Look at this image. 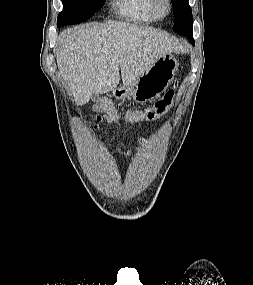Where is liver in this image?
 Returning a JSON list of instances; mask_svg holds the SVG:
<instances>
[{"instance_id":"liver-1","label":"liver","mask_w":253,"mask_h":285,"mask_svg":"<svg viewBox=\"0 0 253 285\" xmlns=\"http://www.w3.org/2000/svg\"><path fill=\"white\" fill-rule=\"evenodd\" d=\"M56 52L59 72L77 106L93 94L113 91L120 81L129 85L162 56L183 46L169 34L126 22L67 29Z\"/></svg>"}]
</instances>
